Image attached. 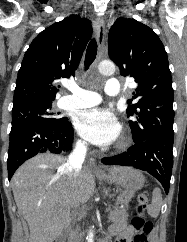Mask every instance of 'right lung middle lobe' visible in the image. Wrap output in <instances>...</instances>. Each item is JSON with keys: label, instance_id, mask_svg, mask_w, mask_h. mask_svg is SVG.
Listing matches in <instances>:
<instances>
[{"label": "right lung middle lobe", "instance_id": "obj_1", "mask_svg": "<svg viewBox=\"0 0 187 242\" xmlns=\"http://www.w3.org/2000/svg\"><path fill=\"white\" fill-rule=\"evenodd\" d=\"M52 101L30 102L12 108V128L26 124L62 125L66 117L57 118L51 110Z\"/></svg>", "mask_w": 187, "mask_h": 242}]
</instances>
